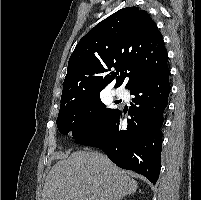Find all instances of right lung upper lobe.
<instances>
[{
    "mask_svg": "<svg viewBox=\"0 0 201 200\" xmlns=\"http://www.w3.org/2000/svg\"><path fill=\"white\" fill-rule=\"evenodd\" d=\"M167 69V52L155 22L144 10L124 8L81 38L68 62L61 102L98 93L115 79L116 88L125 82L131 90Z\"/></svg>",
    "mask_w": 201,
    "mask_h": 200,
    "instance_id": "cb5924a9",
    "label": "right lung upper lobe"
}]
</instances>
